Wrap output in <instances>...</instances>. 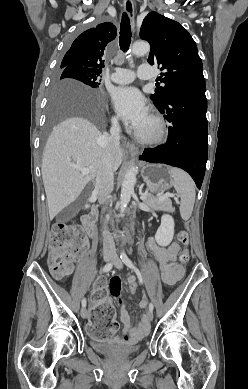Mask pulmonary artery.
Masks as SVG:
<instances>
[{
	"instance_id": "e3ab8cb5",
	"label": "pulmonary artery",
	"mask_w": 248,
	"mask_h": 389,
	"mask_svg": "<svg viewBox=\"0 0 248 389\" xmlns=\"http://www.w3.org/2000/svg\"><path fill=\"white\" fill-rule=\"evenodd\" d=\"M135 76L143 80H150L153 77L151 66L143 63L136 73L126 68H116L115 72L110 75V80L118 84H126L132 82Z\"/></svg>"
}]
</instances>
